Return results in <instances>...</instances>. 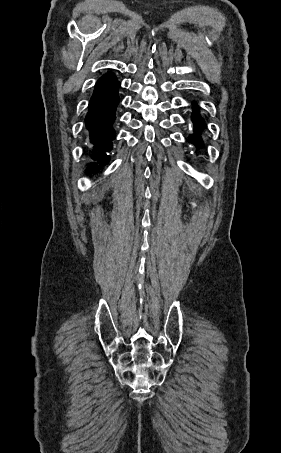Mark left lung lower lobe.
I'll return each mask as SVG.
<instances>
[{
  "label": "left lung lower lobe",
  "mask_w": 281,
  "mask_h": 453,
  "mask_svg": "<svg viewBox=\"0 0 281 453\" xmlns=\"http://www.w3.org/2000/svg\"><path fill=\"white\" fill-rule=\"evenodd\" d=\"M192 122L194 124V134L189 137V141L194 144L196 147H203V140L201 138V131L205 127V122L198 113L197 108L195 107L194 113L192 116Z\"/></svg>",
  "instance_id": "1"
}]
</instances>
